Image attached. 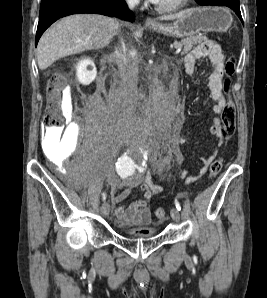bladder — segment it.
Returning <instances> with one entry per match:
<instances>
[{
	"label": "bladder",
	"instance_id": "bladder-1",
	"mask_svg": "<svg viewBox=\"0 0 267 298\" xmlns=\"http://www.w3.org/2000/svg\"><path fill=\"white\" fill-rule=\"evenodd\" d=\"M155 234V231L152 230L151 233L149 234H136L134 231L132 230H123V235L126 236V237H129V238H149V237H152L154 236Z\"/></svg>",
	"mask_w": 267,
	"mask_h": 298
}]
</instances>
